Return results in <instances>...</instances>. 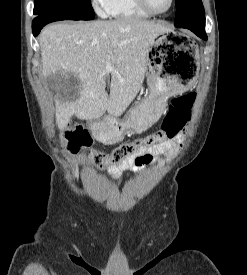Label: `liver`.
Listing matches in <instances>:
<instances>
[{
	"mask_svg": "<svg viewBox=\"0 0 247 275\" xmlns=\"http://www.w3.org/2000/svg\"><path fill=\"white\" fill-rule=\"evenodd\" d=\"M167 31L164 25L136 18L46 27L39 39L43 76L72 73L80 81L77 94L55 101L59 129H65L73 115L81 120L98 119L105 111L121 116L144 81L150 43ZM107 65L113 70L107 71Z\"/></svg>",
	"mask_w": 247,
	"mask_h": 275,
	"instance_id": "6515ba94",
	"label": "liver"
}]
</instances>
